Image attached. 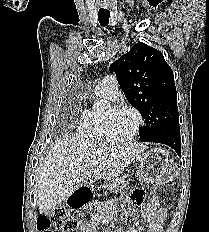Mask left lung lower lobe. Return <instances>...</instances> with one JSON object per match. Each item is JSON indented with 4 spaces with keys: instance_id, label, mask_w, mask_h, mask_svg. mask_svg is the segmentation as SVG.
<instances>
[{
    "instance_id": "1",
    "label": "left lung lower lobe",
    "mask_w": 209,
    "mask_h": 232,
    "mask_svg": "<svg viewBox=\"0 0 209 232\" xmlns=\"http://www.w3.org/2000/svg\"><path fill=\"white\" fill-rule=\"evenodd\" d=\"M148 142L161 143L172 147L180 156L181 137L179 123L170 124L160 129Z\"/></svg>"
}]
</instances>
